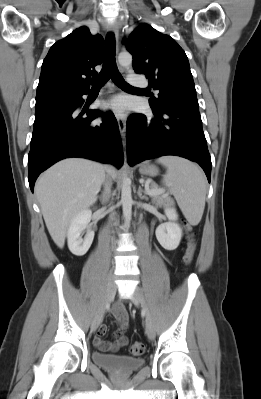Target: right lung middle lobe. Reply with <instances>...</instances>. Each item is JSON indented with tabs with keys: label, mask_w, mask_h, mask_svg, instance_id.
I'll return each mask as SVG.
<instances>
[{
	"label": "right lung middle lobe",
	"mask_w": 261,
	"mask_h": 399,
	"mask_svg": "<svg viewBox=\"0 0 261 399\" xmlns=\"http://www.w3.org/2000/svg\"><path fill=\"white\" fill-rule=\"evenodd\" d=\"M67 98H68V97H67ZM64 99H66V98L57 99V100H52V101H47V102L36 103V106H35V107L45 106V105H48V104H51V103H54V102H57V101H61V100H64Z\"/></svg>",
	"instance_id": "obj_1"
}]
</instances>
